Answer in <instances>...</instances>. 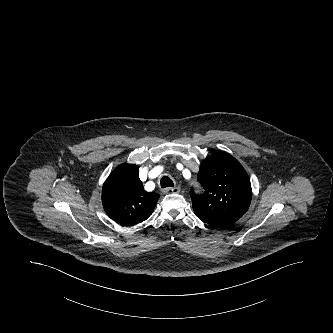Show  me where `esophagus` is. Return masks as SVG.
I'll return each instance as SVG.
<instances>
[{"mask_svg":"<svg viewBox=\"0 0 333 333\" xmlns=\"http://www.w3.org/2000/svg\"><path fill=\"white\" fill-rule=\"evenodd\" d=\"M180 192V188L179 187H168V188H165L163 190V193L167 194V193H179Z\"/></svg>","mask_w":333,"mask_h":333,"instance_id":"34e87169","label":"esophagus"}]
</instances>
